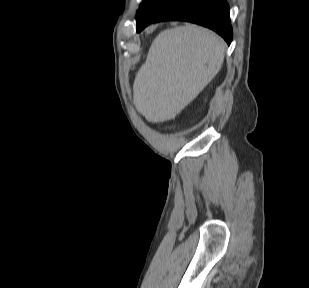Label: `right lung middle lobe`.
Listing matches in <instances>:
<instances>
[{"label": "right lung middle lobe", "mask_w": 309, "mask_h": 288, "mask_svg": "<svg viewBox=\"0 0 309 288\" xmlns=\"http://www.w3.org/2000/svg\"><path fill=\"white\" fill-rule=\"evenodd\" d=\"M179 1L180 0H144L136 16L137 32L148 26L158 14Z\"/></svg>", "instance_id": "dd1d6c3e"}]
</instances>
